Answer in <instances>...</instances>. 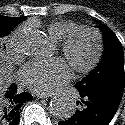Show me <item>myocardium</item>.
I'll use <instances>...</instances> for the list:
<instances>
[{
  "mask_svg": "<svg viewBox=\"0 0 125 125\" xmlns=\"http://www.w3.org/2000/svg\"><path fill=\"white\" fill-rule=\"evenodd\" d=\"M85 34H88L93 38L94 50L86 62L79 63L72 59V54L74 52L77 40ZM60 50L65 59L69 61L73 71L76 73H88L98 65L102 58L104 50L103 38L97 29L87 26H79L61 42Z\"/></svg>",
  "mask_w": 125,
  "mask_h": 125,
  "instance_id": "f54148a6",
  "label": "myocardium"
}]
</instances>
